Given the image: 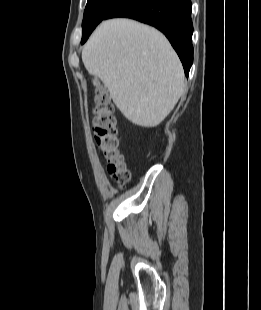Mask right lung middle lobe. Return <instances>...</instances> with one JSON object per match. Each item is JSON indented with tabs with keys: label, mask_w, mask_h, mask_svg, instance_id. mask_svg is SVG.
Here are the masks:
<instances>
[{
	"label": "right lung middle lobe",
	"mask_w": 261,
	"mask_h": 310,
	"mask_svg": "<svg viewBox=\"0 0 261 310\" xmlns=\"http://www.w3.org/2000/svg\"><path fill=\"white\" fill-rule=\"evenodd\" d=\"M125 0H88L82 22V38Z\"/></svg>",
	"instance_id": "obj_1"
}]
</instances>
